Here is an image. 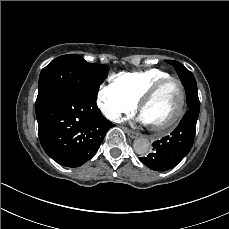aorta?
I'll list each match as a JSON object with an SVG mask.
<instances>
[{
    "instance_id": "obj_1",
    "label": "aorta",
    "mask_w": 229,
    "mask_h": 229,
    "mask_svg": "<svg viewBox=\"0 0 229 229\" xmlns=\"http://www.w3.org/2000/svg\"><path fill=\"white\" fill-rule=\"evenodd\" d=\"M134 151L139 155H145L148 153L150 143L146 138H137L133 143Z\"/></svg>"
}]
</instances>
